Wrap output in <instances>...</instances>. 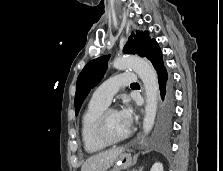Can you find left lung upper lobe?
<instances>
[{"mask_svg":"<svg viewBox=\"0 0 223 171\" xmlns=\"http://www.w3.org/2000/svg\"><path fill=\"white\" fill-rule=\"evenodd\" d=\"M154 42L156 41L150 38L148 31L137 30L130 35L124 47V52L146 57ZM108 59L109 55H105L90 61L79 74L74 100L76 115L79 113L81 105L90 90L100 82L105 74Z\"/></svg>","mask_w":223,"mask_h":171,"instance_id":"1","label":"left lung upper lobe"}]
</instances>
